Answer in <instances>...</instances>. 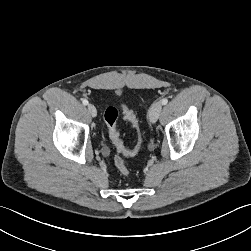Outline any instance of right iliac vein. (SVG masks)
I'll return each instance as SVG.
<instances>
[{
	"instance_id": "obj_1",
	"label": "right iliac vein",
	"mask_w": 251,
	"mask_h": 251,
	"mask_svg": "<svg viewBox=\"0 0 251 251\" xmlns=\"http://www.w3.org/2000/svg\"><path fill=\"white\" fill-rule=\"evenodd\" d=\"M87 108H88V112L90 113V115H91L92 117H96V115H97V110H96L95 106L92 105V104H88Z\"/></svg>"
}]
</instances>
